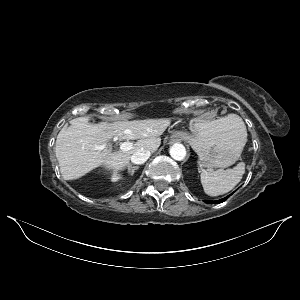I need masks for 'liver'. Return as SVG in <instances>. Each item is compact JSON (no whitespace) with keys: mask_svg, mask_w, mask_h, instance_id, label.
Segmentation results:
<instances>
[{"mask_svg":"<svg viewBox=\"0 0 300 300\" xmlns=\"http://www.w3.org/2000/svg\"><path fill=\"white\" fill-rule=\"evenodd\" d=\"M168 119H147L122 122L90 123L86 117L71 121L56 139L55 154L65 180L78 179L91 170L103 166L122 171L130 166L131 156L140 149L155 152L160 136L169 126ZM137 140L128 151L105 149L110 139Z\"/></svg>","mask_w":300,"mask_h":300,"instance_id":"1","label":"liver"}]
</instances>
